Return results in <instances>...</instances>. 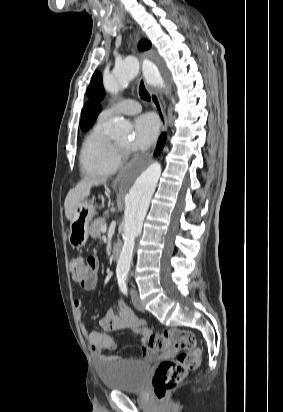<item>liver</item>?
Instances as JSON below:
<instances>
[{
    "mask_svg": "<svg viewBox=\"0 0 283 412\" xmlns=\"http://www.w3.org/2000/svg\"><path fill=\"white\" fill-rule=\"evenodd\" d=\"M106 178H85L71 189L64 202L66 218L71 222L78 204L90 195L91 187L106 183Z\"/></svg>",
    "mask_w": 283,
    "mask_h": 412,
    "instance_id": "liver-1",
    "label": "liver"
}]
</instances>
